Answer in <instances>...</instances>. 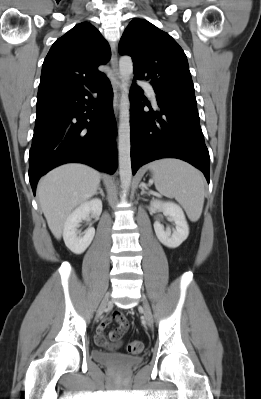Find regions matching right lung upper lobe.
<instances>
[{
	"label": "right lung upper lobe",
	"mask_w": 261,
	"mask_h": 399,
	"mask_svg": "<svg viewBox=\"0 0 261 399\" xmlns=\"http://www.w3.org/2000/svg\"><path fill=\"white\" fill-rule=\"evenodd\" d=\"M110 56L109 44L95 27L88 22L74 26L54 42L43 62L37 103L99 82L106 76L98 66Z\"/></svg>",
	"instance_id": "1"
}]
</instances>
